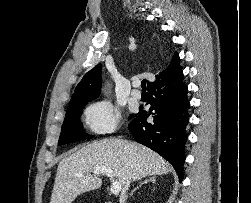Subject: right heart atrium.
Returning a JSON list of instances; mask_svg holds the SVG:
<instances>
[{"instance_id": "obj_1", "label": "right heart atrium", "mask_w": 251, "mask_h": 203, "mask_svg": "<svg viewBox=\"0 0 251 203\" xmlns=\"http://www.w3.org/2000/svg\"><path fill=\"white\" fill-rule=\"evenodd\" d=\"M85 116L90 130L99 135L113 132L120 122L119 109L107 100H100L90 105Z\"/></svg>"}]
</instances>
